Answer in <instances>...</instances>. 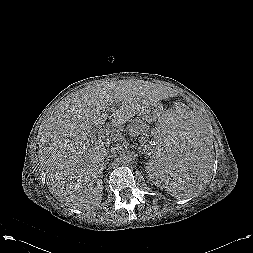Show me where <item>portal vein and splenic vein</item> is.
<instances>
[{
  "label": "portal vein and splenic vein",
  "instance_id": "portal-vein-and-splenic-vein-1",
  "mask_svg": "<svg viewBox=\"0 0 253 253\" xmlns=\"http://www.w3.org/2000/svg\"><path fill=\"white\" fill-rule=\"evenodd\" d=\"M102 136H103V137H117L118 135L115 134V133H111V132L109 131V129H106L105 133H102ZM144 147H145V149H149V148H150V147L147 146L146 144L144 145Z\"/></svg>",
  "mask_w": 253,
  "mask_h": 253
}]
</instances>
